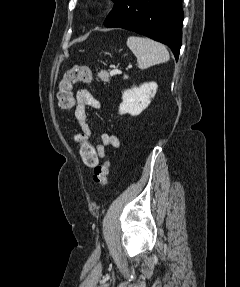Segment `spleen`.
Returning <instances> with one entry per match:
<instances>
[{
	"label": "spleen",
	"mask_w": 240,
	"mask_h": 287,
	"mask_svg": "<svg viewBox=\"0 0 240 287\" xmlns=\"http://www.w3.org/2000/svg\"><path fill=\"white\" fill-rule=\"evenodd\" d=\"M127 46L137 57L140 69H147L169 60V53L166 47L147 37L130 36L127 39Z\"/></svg>",
	"instance_id": "3e777b00"
}]
</instances>
